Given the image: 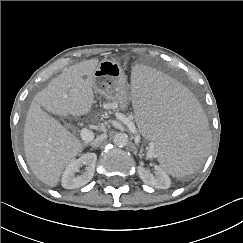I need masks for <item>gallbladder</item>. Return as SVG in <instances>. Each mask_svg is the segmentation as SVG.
Listing matches in <instances>:
<instances>
[{"instance_id":"obj_1","label":"gallbladder","mask_w":243,"mask_h":243,"mask_svg":"<svg viewBox=\"0 0 243 243\" xmlns=\"http://www.w3.org/2000/svg\"><path fill=\"white\" fill-rule=\"evenodd\" d=\"M64 126H65L66 128H71L70 124L67 123V122H64Z\"/></svg>"}]
</instances>
